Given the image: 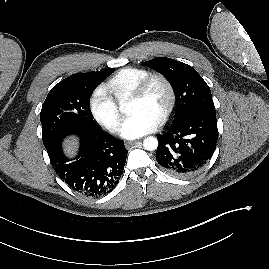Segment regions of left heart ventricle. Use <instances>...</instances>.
Here are the masks:
<instances>
[{
	"label": "left heart ventricle",
	"mask_w": 269,
	"mask_h": 269,
	"mask_svg": "<svg viewBox=\"0 0 269 269\" xmlns=\"http://www.w3.org/2000/svg\"><path fill=\"white\" fill-rule=\"evenodd\" d=\"M168 101L165 86L160 81H155L149 88L144 98L131 100L129 103V114L144 113L158 121Z\"/></svg>",
	"instance_id": "left-heart-ventricle-1"
}]
</instances>
